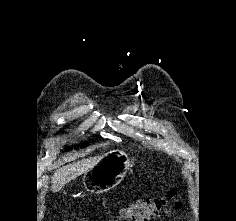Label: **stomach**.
<instances>
[{
  "label": "stomach",
  "instance_id": "stomach-1",
  "mask_svg": "<svg viewBox=\"0 0 236 221\" xmlns=\"http://www.w3.org/2000/svg\"><path fill=\"white\" fill-rule=\"evenodd\" d=\"M131 165L127 154L121 151H111L83 176V184L87 191L99 194L114 188L125 177Z\"/></svg>",
  "mask_w": 236,
  "mask_h": 221
}]
</instances>
